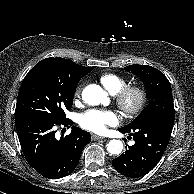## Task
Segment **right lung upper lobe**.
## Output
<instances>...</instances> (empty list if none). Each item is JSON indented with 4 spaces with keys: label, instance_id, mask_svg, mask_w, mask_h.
<instances>
[{
    "label": "right lung upper lobe",
    "instance_id": "obj_1",
    "mask_svg": "<svg viewBox=\"0 0 194 194\" xmlns=\"http://www.w3.org/2000/svg\"><path fill=\"white\" fill-rule=\"evenodd\" d=\"M55 59L58 60L70 74L74 76H79L81 78L93 69V67H83L81 65H78L69 59L59 57Z\"/></svg>",
    "mask_w": 194,
    "mask_h": 194
}]
</instances>
